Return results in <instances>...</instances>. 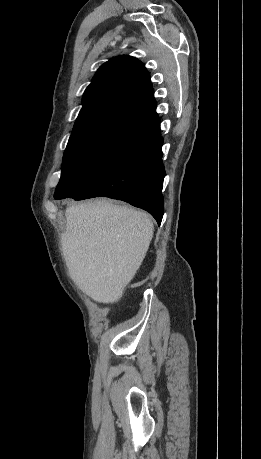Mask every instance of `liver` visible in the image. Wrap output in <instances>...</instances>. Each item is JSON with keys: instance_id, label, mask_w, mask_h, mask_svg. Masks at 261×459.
I'll return each mask as SVG.
<instances>
[{"instance_id": "1", "label": "liver", "mask_w": 261, "mask_h": 459, "mask_svg": "<svg viewBox=\"0 0 261 459\" xmlns=\"http://www.w3.org/2000/svg\"><path fill=\"white\" fill-rule=\"evenodd\" d=\"M63 257L79 288L99 303L118 301L153 237L148 214L98 199L65 211Z\"/></svg>"}]
</instances>
